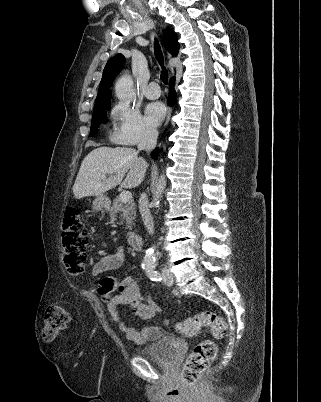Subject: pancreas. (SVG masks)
<instances>
[{
    "mask_svg": "<svg viewBox=\"0 0 321 402\" xmlns=\"http://www.w3.org/2000/svg\"><path fill=\"white\" fill-rule=\"evenodd\" d=\"M110 218L116 220L119 214L118 224H125L126 228L131 230L136 216V207L133 200L122 202L120 197H116L113 206L109 209Z\"/></svg>",
    "mask_w": 321,
    "mask_h": 402,
    "instance_id": "obj_1",
    "label": "pancreas"
}]
</instances>
